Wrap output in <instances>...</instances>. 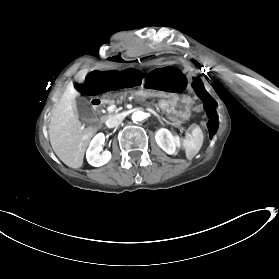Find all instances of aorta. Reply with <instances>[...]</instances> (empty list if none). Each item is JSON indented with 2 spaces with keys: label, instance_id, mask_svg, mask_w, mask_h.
Returning a JSON list of instances; mask_svg holds the SVG:
<instances>
[{
  "label": "aorta",
  "instance_id": "762f6f07",
  "mask_svg": "<svg viewBox=\"0 0 279 279\" xmlns=\"http://www.w3.org/2000/svg\"><path fill=\"white\" fill-rule=\"evenodd\" d=\"M146 117V113L143 111H136L132 115L133 122H138L144 120Z\"/></svg>",
  "mask_w": 279,
  "mask_h": 279
}]
</instances>
